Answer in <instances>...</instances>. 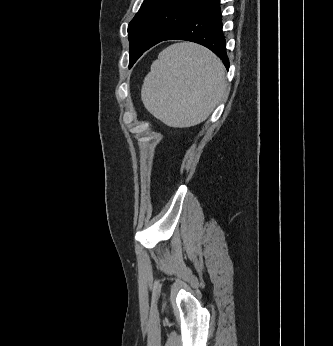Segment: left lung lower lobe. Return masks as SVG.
I'll return each mask as SVG.
<instances>
[{
	"mask_svg": "<svg viewBox=\"0 0 333 346\" xmlns=\"http://www.w3.org/2000/svg\"><path fill=\"white\" fill-rule=\"evenodd\" d=\"M222 28L220 0H208L161 41L186 40L201 44L213 51L228 70L229 59Z\"/></svg>",
	"mask_w": 333,
	"mask_h": 346,
	"instance_id": "0a47b994",
	"label": "left lung lower lobe"
}]
</instances>
